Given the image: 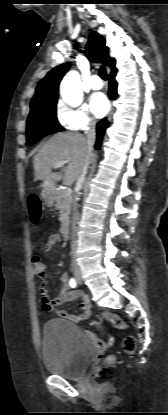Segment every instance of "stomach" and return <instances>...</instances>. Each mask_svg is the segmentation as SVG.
I'll return each mask as SVG.
<instances>
[{
    "label": "stomach",
    "mask_w": 168,
    "mask_h": 415,
    "mask_svg": "<svg viewBox=\"0 0 168 415\" xmlns=\"http://www.w3.org/2000/svg\"><path fill=\"white\" fill-rule=\"evenodd\" d=\"M54 195H55L54 192L50 189L43 190L42 198L47 206L51 207L53 205Z\"/></svg>",
    "instance_id": "stomach-1"
}]
</instances>
